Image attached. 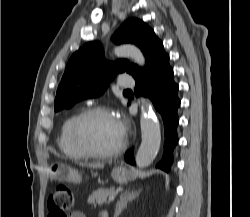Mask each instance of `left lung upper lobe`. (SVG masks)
Listing matches in <instances>:
<instances>
[{
  "mask_svg": "<svg viewBox=\"0 0 250 217\" xmlns=\"http://www.w3.org/2000/svg\"><path fill=\"white\" fill-rule=\"evenodd\" d=\"M112 40L116 44L137 45L146 57V65L161 42L146 23L136 18L126 20ZM124 71L134 77L142 69L127 60L108 62L99 42L86 43L72 55L66 66L56 93L55 111L69 109L78 101L100 96L116 74Z\"/></svg>",
  "mask_w": 250,
  "mask_h": 217,
  "instance_id": "1",
  "label": "left lung upper lobe"
}]
</instances>
